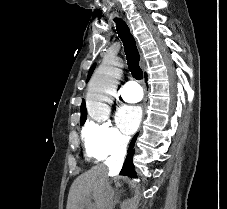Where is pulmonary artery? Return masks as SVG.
Wrapping results in <instances>:
<instances>
[{
	"label": "pulmonary artery",
	"mask_w": 227,
	"mask_h": 209,
	"mask_svg": "<svg viewBox=\"0 0 227 209\" xmlns=\"http://www.w3.org/2000/svg\"><path fill=\"white\" fill-rule=\"evenodd\" d=\"M142 89L137 88V84L134 82H125L124 87L121 88V97L124 101L129 103H135L141 100Z\"/></svg>",
	"instance_id": "1"
}]
</instances>
